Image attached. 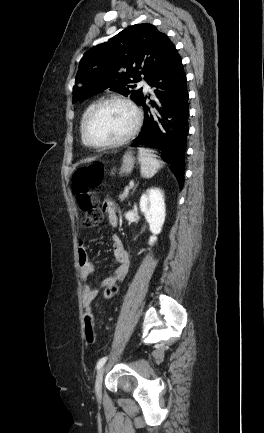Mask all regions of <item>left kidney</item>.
<instances>
[{"label":"left kidney","instance_id":"obj_1","mask_svg":"<svg viewBox=\"0 0 264 433\" xmlns=\"http://www.w3.org/2000/svg\"><path fill=\"white\" fill-rule=\"evenodd\" d=\"M140 210L149 224L152 236L149 244L157 240V235L162 231L166 216L164 192L159 188H150L141 196Z\"/></svg>","mask_w":264,"mask_h":433}]
</instances>
